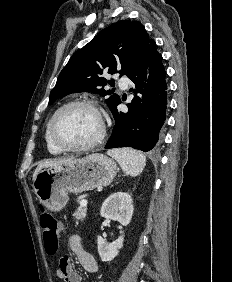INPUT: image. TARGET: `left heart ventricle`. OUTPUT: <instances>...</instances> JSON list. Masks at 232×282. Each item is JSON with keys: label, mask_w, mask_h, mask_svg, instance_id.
I'll return each mask as SVG.
<instances>
[{"label": "left heart ventricle", "mask_w": 232, "mask_h": 282, "mask_svg": "<svg viewBox=\"0 0 232 282\" xmlns=\"http://www.w3.org/2000/svg\"><path fill=\"white\" fill-rule=\"evenodd\" d=\"M101 123L95 111L84 106H73L58 117L55 134L58 140L70 146L93 141L100 133Z\"/></svg>", "instance_id": "left-heart-ventricle-1"}]
</instances>
